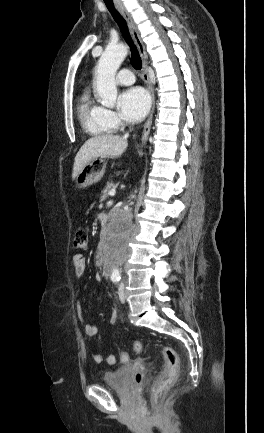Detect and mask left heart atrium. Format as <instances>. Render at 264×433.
I'll list each match as a JSON object with an SVG mask.
<instances>
[{"label":"left heart atrium","mask_w":264,"mask_h":433,"mask_svg":"<svg viewBox=\"0 0 264 433\" xmlns=\"http://www.w3.org/2000/svg\"><path fill=\"white\" fill-rule=\"evenodd\" d=\"M121 117L129 122H139L147 114L150 98L147 92L139 87L125 90L118 98Z\"/></svg>","instance_id":"left-heart-atrium-1"}]
</instances>
